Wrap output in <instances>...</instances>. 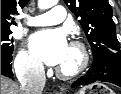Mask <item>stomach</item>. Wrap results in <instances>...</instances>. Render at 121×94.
Listing matches in <instances>:
<instances>
[{
  "label": "stomach",
  "mask_w": 121,
  "mask_h": 94,
  "mask_svg": "<svg viewBox=\"0 0 121 94\" xmlns=\"http://www.w3.org/2000/svg\"><path fill=\"white\" fill-rule=\"evenodd\" d=\"M77 94H115L109 87L101 83H95L82 88Z\"/></svg>",
  "instance_id": "1"
}]
</instances>
